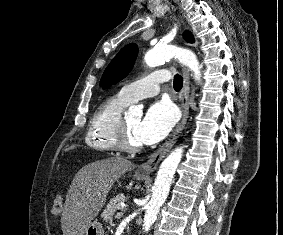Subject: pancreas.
<instances>
[{
  "instance_id": "1",
  "label": "pancreas",
  "mask_w": 283,
  "mask_h": 235,
  "mask_svg": "<svg viewBox=\"0 0 283 235\" xmlns=\"http://www.w3.org/2000/svg\"><path fill=\"white\" fill-rule=\"evenodd\" d=\"M125 196L123 194H118L114 198H112L109 203L107 204L105 210L102 213V218L105 222H111L114 213L116 210H121V202H124Z\"/></svg>"
}]
</instances>
